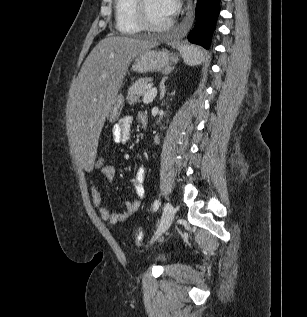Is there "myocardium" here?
<instances>
[{
    "label": "myocardium",
    "instance_id": "f54148a6",
    "mask_svg": "<svg viewBox=\"0 0 307 317\" xmlns=\"http://www.w3.org/2000/svg\"><path fill=\"white\" fill-rule=\"evenodd\" d=\"M135 11L137 20L142 29L152 32H162L168 29L172 24L173 20L170 19L168 22L157 25L154 24L148 16L146 8V0H135Z\"/></svg>",
    "mask_w": 307,
    "mask_h": 317
}]
</instances>
